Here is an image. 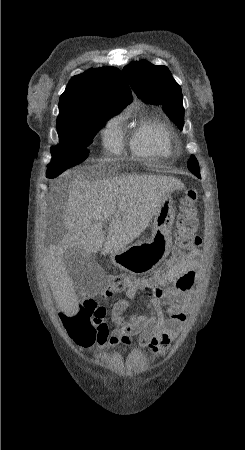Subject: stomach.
<instances>
[{"label":"stomach","mask_w":245,"mask_h":450,"mask_svg":"<svg viewBox=\"0 0 245 450\" xmlns=\"http://www.w3.org/2000/svg\"><path fill=\"white\" fill-rule=\"evenodd\" d=\"M175 218L172 197L167 194L154 217L150 240L138 242L110 255L112 263L131 274L142 275L157 268L169 255Z\"/></svg>","instance_id":"stomach-1"}]
</instances>
